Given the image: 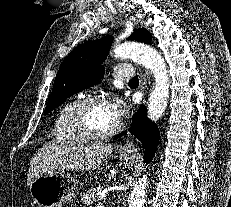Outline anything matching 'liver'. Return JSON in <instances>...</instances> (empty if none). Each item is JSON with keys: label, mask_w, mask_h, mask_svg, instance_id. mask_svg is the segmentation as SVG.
Segmentation results:
<instances>
[{"label": "liver", "mask_w": 231, "mask_h": 207, "mask_svg": "<svg viewBox=\"0 0 231 207\" xmlns=\"http://www.w3.org/2000/svg\"><path fill=\"white\" fill-rule=\"evenodd\" d=\"M113 151L106 144H46L31 159L27 186L41 174L55 167L67 170L89 171L100 167L102 160Z\"/></svg>", "instance_id": "6515ba94"}]
</instances>
